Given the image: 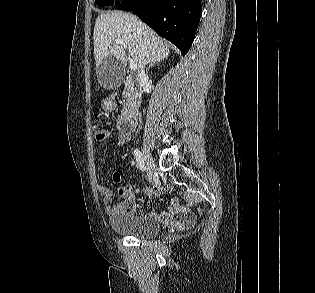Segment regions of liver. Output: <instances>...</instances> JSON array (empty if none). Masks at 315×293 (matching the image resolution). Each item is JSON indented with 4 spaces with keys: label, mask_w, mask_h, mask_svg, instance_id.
Returning <instances> with one entry per match:
<instances>
[{
    "label": "liver",
    "mask_w": 315,
    "mask_h": 293,
    "mask_svg": "<svg viewBox=\"0 0 315 293\" xmlns=\"http://www.w3.org/2000/svg\"><path fill=\"white\" fill-rule=\"evenodd\" d=\"M116 41L123 42L139 68L160 62L170 53L168 44L136 16L121 11L101 13L94 27V56L98 65L109 55L123 60L126 48Z\"/></svg>",
    "instance_id": "6515ba94"
}]
</instances>
